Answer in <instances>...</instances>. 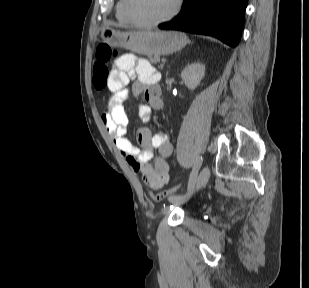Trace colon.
Returning a JSON list of instances; mask_svg holds the SVG:
<instances>
[{
  "label": "colon",
  "mask_w": 309,
  "mask_h": 288,
  "mask_svg": "<svg viewBox=\"0 0 309 288\" xmlns=\"http://www.w3.org/2000/svg\"><path fill=\"white\" fill-rule=\"evenodd\" d=\"M117 57V51L109 44H99L96 49V62L93 66L92 83L96 90L102 91L108 85L109 80V64ZM182 184H176L173 187L157 192L151 193L152 198L157 201H164L173 196L180 188Z\"/></svg>",
  "instance_id": "colon-1"
}]
</instances>
